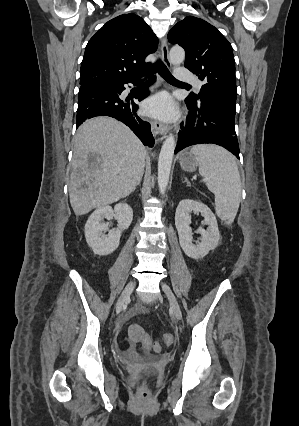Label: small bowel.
<instances>
[{
  "label": "small bowel",
  "mask_w": 299,
  "mask_h": 426,
  "mask_svg": "<svg viewBox=\"0 0 299 426\" xmlns=\"http://www.w3.org/2000/svg\"><path fill=\"white\" fill-rule=\"evenodd\" d=\"M133 313L144 314L146 313V309L142 306H137ZM120 354L123 360L131 365L142 363L147 355L145 350L139 351L136 348V343L133 341H129L127 346L120 350Z\"/></svg>",
  "instance_id": "1"
}]
</instances>
